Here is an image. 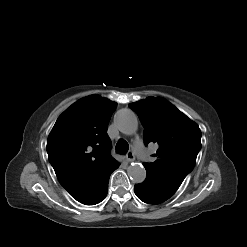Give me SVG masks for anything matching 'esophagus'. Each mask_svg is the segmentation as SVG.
Instances as JSON below:
<instances>
[{
  "label": "esophagus",
  "mask_w": 247,
  "mask_h": 247,
  "mask_svg": "<svg viewBox=\"0 0 247 247\" xmlns=\"http://www.w3.org/2000/svg\"><path fill=\"white\" fill-rule=\"evenodd\" d=\"M126 159L128 162H133L135 160V155L132 151H129L127 154H126Z\"/></svg>",
  "instance_id": "34e87169"
}]
</instances>
